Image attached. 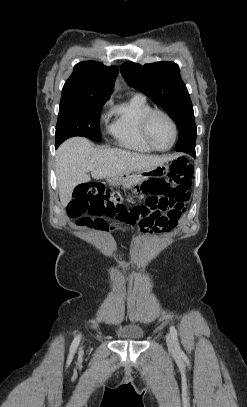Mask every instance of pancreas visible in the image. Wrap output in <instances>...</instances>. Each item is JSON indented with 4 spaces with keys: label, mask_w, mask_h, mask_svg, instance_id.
I'll return each instance as SVG.
<instances>
[{
    "label": "pancreas",
    "mask_w": 247,
    "mask_h": 407,
    "mask_svg": "<svg viewBox=\"0 0 247 407\" xmlns=\"http://www.w3.org/2000/svg\"><path fill=\"white\" fill-rule=\"evenodd\" d=\"M137 182H139V181H136V180H134V179H129L126 183H124V186H129V187H131V186H133L135 183H137Z\"/></svg>",
    "instance_id": "pancreas-1"
}]
</instances>
